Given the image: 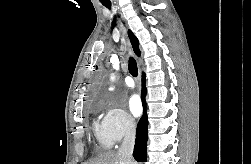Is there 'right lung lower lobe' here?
<instances>
[{
    "instance_id": "1",
    "label": "right lung lower lobe",
    "mask_w": 251,
    "mask_h": 164,
    "mask_svg": "<svg viewBox=\"0 0 251 164\" xmlns=\"http://www.w3.org/2000/svg\"><path fill=\"white\" fill-rule=\"evenodd\" d=\"M142 82H143V96H145L146 93L145 75L142 76ZM143 106H145V103L143 104ZM147 126H148L147 114L146 112H144L143 116L141 117L138 123L135 147L133 152V157L136 159L137 162L146 161L147 157L146 144L148 139Z\"/></svg>"
}]
</instances>
